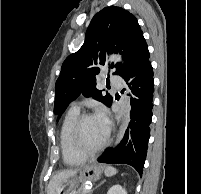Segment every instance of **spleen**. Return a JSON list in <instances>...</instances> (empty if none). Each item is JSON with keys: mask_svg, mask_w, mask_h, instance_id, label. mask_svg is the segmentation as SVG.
Instances as JSON below:
<instances>
[{"mask_svg": "<svg viewBox=\"0 0 201 194\" xmlns=\"http://www.w3.org/2000/svg\"><path fill=\"white\" fill-rule=\"evenodd\" d=\"M117 173V170L114 167L108 166L105 169V175L111 177Z\"/></svg>", "mask_w": 201, "mask_h": 194, "instance_id": "obj_1", "label": "spleen"}]
</instances>
